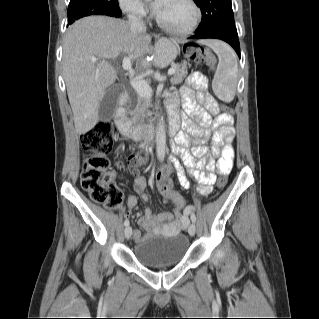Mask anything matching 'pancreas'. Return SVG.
Returning <instances> with one entry per match:
<instances>
[{
	"instance_id": "1",
	"label": "pancreas",
	"mask_w": 319,
	"mask_h": 319,
	"mask_svg": "<svg viewBox=\"0 0 319 319\" xmlns=\"http://www.w3.org/2000/svg\"><path fill=\"white\" fill-rule=\"evenodd\" d=\"M188 67H190V64L184 61L181 64L174 65L175 73L173 77L171 78L172 85H177L183 81V79L188 74ZM151 105V99L150 97H141L138 96V105L135 110V114L133 116V122H142L145 117H148L151 115V112L148 111V108Z\"/></svg>"
}]
</instances>
